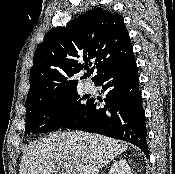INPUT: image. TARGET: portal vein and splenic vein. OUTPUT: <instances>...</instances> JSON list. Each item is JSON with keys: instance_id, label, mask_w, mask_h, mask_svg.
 <instances>
[{"instance_id": "18ae733b", "label": "portal vein and splenic vein", "mask_w": 175, "mask_h": 174, "mask_svg": "<svg viewBox=\"0 0 175 174\" xmlns=\"http://www.w3.org/2000/svg\"><path fill=\"white\" fill-rule=\"evenodd\" d=\"M74 163L77 165L78 167V171L80 172V174H87L85 166L82 165L81 163H79V161L77 160V158H73Z\"/></svg>"}]
</instances>
